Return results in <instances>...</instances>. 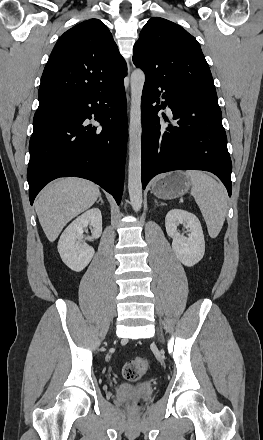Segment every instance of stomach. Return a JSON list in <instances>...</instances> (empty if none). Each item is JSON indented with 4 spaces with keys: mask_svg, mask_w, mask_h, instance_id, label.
<instances>
[{
    "mask_svg": "<svg viewBox=\"0 0 263 440\" xmlns=\"http://www.w3.org/2000/svg\"><path fill=\"white\" fill-rule=\"evenodd\" d=\"M191 186L183 171L167 173L157 177L151 186V192L161 199H174L188 192Z\"/></svg>",
    "mask_w": 263,
    "mask_h": 440,
    "instance_id": "obj_1",
    "label": "stomach"
}]
</instances>
